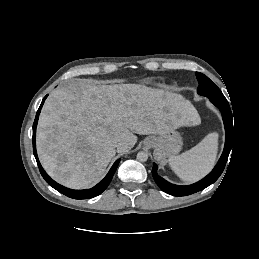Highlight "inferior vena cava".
Wrapping results in <instances>:
<instances>
[{
    "label": "inferior vena cava",
    "instance_id": "602c4592",
    "mask_svg": "<svg viewBox=\"0 0 259 259\" xmlns=\"http://www.w3.org/2000/svg\"><path fill=\"white\" fill-rule=\"evenodd\" d=\"M113 143H114V146H115L117 149L120 148V147L124 144L121 139H115V140L113 141Z\"/></svg>",
    "mask_w": 259,
    "mask_h": 259
}]
</instances>
